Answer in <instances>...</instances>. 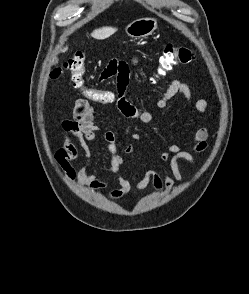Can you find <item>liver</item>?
Listing matches in <instances>:
<instances>
[{
    "label": "liver",
    "mask_w": 249,
    "mask_h": 294,
    "mask_svg": "<svg viewBox=\"0 0 249 294\" xmlns=\"http://www.w3.org/2000/svg\"><path fill=\"white\" fill-rule=\"evenodd\" d=\"M116 31V28L113 27H102L99 29L94 30L91 33V36L96 39H104L112 35ZM68 47H65L62 52L67 51Z\"/></svg>",
    "instance_id": "6515ba94"
}]
</instances>
